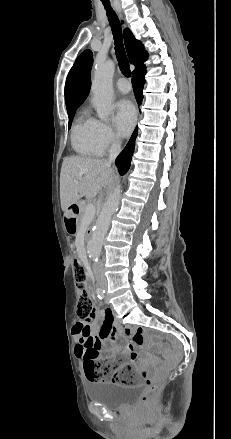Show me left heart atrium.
Wrapping results in <instances>:
<instances>
[{
  "instance_id": "obj_1",
  "label": "left heart atrium",
  "mask_w": 231,
  "mask_h": 439,
  "mask_svg": "<svg viewBox=\"0 0 231 439\" xmlns=\"http://www.w3.org/2000/svg\"><path fill=\"white\" fill-rule=\"evenodd\" d=\"M136 110L133 104L126 100H120L114 105V124L121 136H127L132 131L136 122Z\"/></svg>"
}]
</instances>
